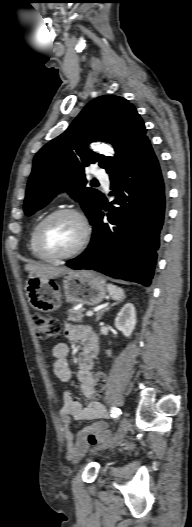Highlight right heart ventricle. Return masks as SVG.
I'll return each mask as SVG.
<instances>
[{
	"instance_id": "1",
	"label": "right heart ventricle",
	"mask_w": 192,
	"mask_h": 527,
	"mask_svg": "<svg viewBox=\"0 0 192 527\" xmlns=\"http://www.w3.org/2000/svg\"><path fill=\"white\" fill-rule=\"evenodd\" d=\"M48 215V213H43L41 216H39L36 221L34 222L31 230H30V233H29V239H28V246H29V250H30V253L31 255L34 257V258H37V259H42L39 254L37 253V250H36V247H35V233H36V229L38 227V225L40 224V222Z\"/></svg>"
}]
</instances>
